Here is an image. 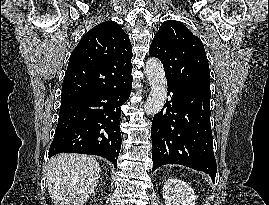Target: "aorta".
<instances>
[{
  "instance_id": "aorta-1",
  "label": "aorta",
  "mask_w": 269,
  "mask_h": 205,
  "mask_svg": "<svg viewBox=\"0 0 269 205\" xmlns=\"http://www.w3.org/2000/svg\"><path fill=\"white\" fill-rule=\"evenodd\" d=\"M145 74L151 91L144 105L147 115L158 114L166 103L167 81L162 64L156 58H149L145 64Z\"/></svg>"
}]
</instances>
